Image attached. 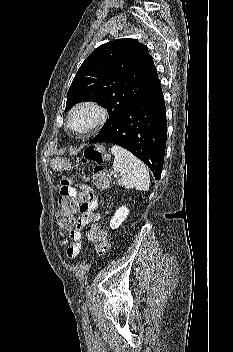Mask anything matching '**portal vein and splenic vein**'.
<instances>
[{
	"label": "portal vein and splenic vein",
	"mask_w": 233,
	"mask_h": 352,
	"mask_svg": "<svg viewBox=\"0 0 233 352\" xmlns=\"http://www.w3.org/2000/svg\"><path fill=\"white\" fill-rule=\"evenodd\" d=\"M118 176H119V175H117V174H115V173H114V177H116V178H117Z\"/></svg>",
	"instance_id": "18ae733b"
}]
</instances>
